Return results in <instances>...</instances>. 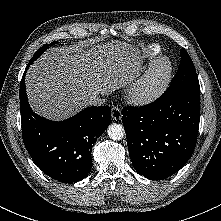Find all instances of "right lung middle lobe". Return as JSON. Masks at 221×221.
<instances>
[{
    "instance_id": "1",
    "label": "right lung middle lobe",
    "mask_w": 221,
    "mask_h": 221,
    "mask_svg": "<svg viewBox=\"0 0 221 221\" xmlns=\"http://www.w3.org/2000/svg\"><path fill=\"white\" fill-rule=\"evenodd\" d=\"M54 43H57V41L52 42L51 46L54 45ZM48 48V44L43 45L42 47H40L38 49V51H36V53L34 54V56L31 58L30 62L33 63L37 58H39L41 56V54Z\"/></svg>"
}]
</instances>
